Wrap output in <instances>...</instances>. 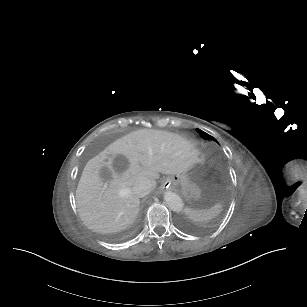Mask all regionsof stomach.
I'll return each mask as SVG.
<instances>
[{
  "mask_svg": "<svg viewBox=\"0 0 307 307\" xmlns=\"http://www.w3.org/2000/svg\"><path fill=\"white\" fill-rule=\"evenodd\" d=\"M198 173L199 166L197 163L187 171L168 176L166 183L173 189H179L182 193H191L197 187L196 180Z\"/></svg>",
  "mask_w": 307,
  "mask_h": 307,
  "instance_id": "1",
  "label": "stomach"
}]
</instances>
